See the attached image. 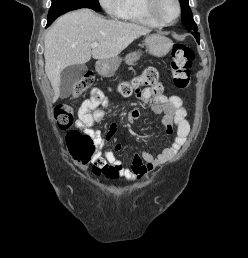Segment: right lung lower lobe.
<instances>
[{"label": "right lung lower lobe", "instance_id": "right-lung-lower-lobe-1", "mask_svg": "<svg viewBox=\"0 0 248 258\" xmlns=\"http://www.w3.org/2000/svg\"><path fill=\"white\" fill-rule=\"evenodd\" d=\"M54 20H50V21H48V23H47V26L46 27H48L52 22H53Z\"/></svg>", "mask_w": 248, "mask_h": 258}]
</instances>
